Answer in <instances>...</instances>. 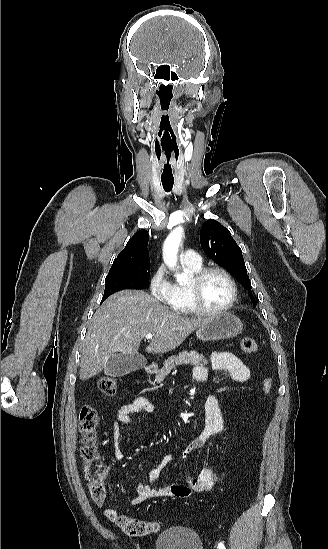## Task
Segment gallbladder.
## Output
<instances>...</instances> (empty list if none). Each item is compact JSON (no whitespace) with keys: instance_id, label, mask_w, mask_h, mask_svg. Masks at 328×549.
I'll list each match as a JSON object with an SVG mask.
<instances>
[{"instance_id":"gallbladder-1","label":"gallbladder","mask_w":328,"mask_h":549,"mask_svg":"<svg viewBox=\"0 0 328 549\" xmlns=\"http://www.w3.org/2000/svg\"><path fill=\"white\" fill-rule=\"evenodd\" d=\"M147 365V359L144 355H112L105 363L104 373L109 377H124L133 371H140Z\"/></svg>"}]
</instances>
